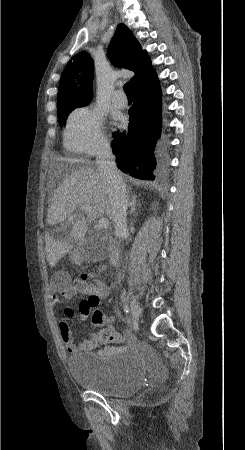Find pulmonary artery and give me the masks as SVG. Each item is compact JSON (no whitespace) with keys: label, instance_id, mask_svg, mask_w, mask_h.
I'll return each mask as SVG.
<instances>
[{"label":"pulmonary artery","instance_id":"1","mask_svg":"<svg viewBox=\"0 0 245 450\" xmlns=\"http://www.w3.org/2000/svg\"><path fill=\"white\" fill-rule=\"evenodd\" d=\"M112 102L118 107H125L128 103L127 97L122 89H118L113 93Z\"/></svg>","mask_w":245,"mask_h":450}]
</instances>
